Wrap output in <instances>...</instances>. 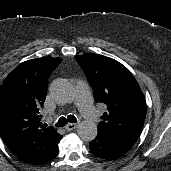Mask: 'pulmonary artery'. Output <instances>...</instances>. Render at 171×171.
Returning a JSON list of instances; mask_svg holds the SVG:
<instances>
[{
	"instance_id": "obj_1",
	"label": "pulmonary artery",
	"mask_w": 171,
	"mask_h": 171,
	"mask_svg": "<svg viewBox=\"0 0 171 171\" xmlns=\"http://www.w3.org/2000/svg\"><path fill=\"white\" fill-rule=\"evenodd\" d=\"M74 100L82 115L90 122L96 121L98 119V111L92 104L91 95L88 87L78 81L76 84V92Z\"/></svg>"
}]
</instances>
